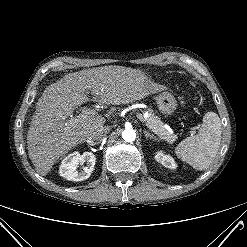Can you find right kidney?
<instances>
[{"label":"right kidney","mask_w":247,"mask_h":247,"mask_svg":"<svg viewBox=\"0 0 247 247\" xmlns=\"http://www.w3.org/2000/svg\"><path fill=\"white\" fill-rule=\"evenodd\" d=\"M96 157L91 152H84L82 155L79 152H73L66 156L60 165L59 173L62 177L70 181H82L90 177L94 170ZM83 170L78 172V165H83Z\"/></svg>","instance_id":"right-kidney-1"}]
</instances>
